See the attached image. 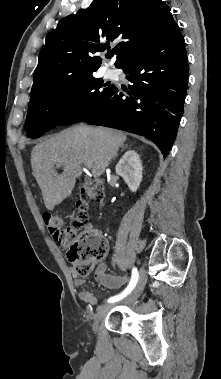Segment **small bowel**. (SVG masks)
Wrapping results in <instances>:
<instances>
[{
  "mask_svg": "<svg viewBox=\"0 0 221 379\" xmlns=\"http://www.w3.org/2000/svg\"><path fill=\"white\" fill-rule=\"evenodd\" d=\"M107 264L105 262H101L96 271H95V279L102 284L103 286L110 288V289H117L121 287L126 281V276H117V275H110L106 273ZM75 284L76 285H82L83 279L79 278L78 275L73 272L72 273ZM79 298L85 302L88 305H96L98 302L97 297L89 290H83L79 293Z\"/></svg>",
  "mask_w": 221,
  "mask_h": 379,
  "instance_id": "small-bowel-1",
  "label": "small bowel"
}]
</instances>
